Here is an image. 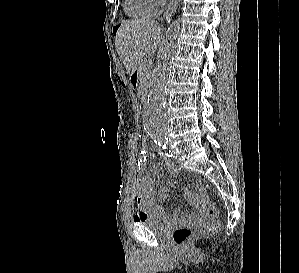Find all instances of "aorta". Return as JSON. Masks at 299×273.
I'll list each match as a JSON object with an SVG mask.
<instances>
[{
	"label": "aorta",
	"instance_id": "obj_1",
	"mask_svg": "<svg viewBox=\"0 0 299 273\" xmlns=\"http://www.w3.org/2000/svg\"><path fill=\"white\" fill-rule=\"evenodd\" d=\"M178 20L168 28L161 47L159 60L154 70L148 101L144 111V129L155 140L163 142L169 132V120L165 109L166 85L171 74L172 61L177 52Z\"/></svg>",
	"mask_w": 299,
	"mask_h": 273
}]
</instances>
